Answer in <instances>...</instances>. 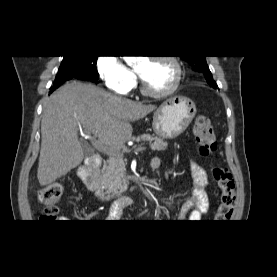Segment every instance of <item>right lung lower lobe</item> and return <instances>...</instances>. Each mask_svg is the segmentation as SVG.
Masks as SVG:
<instances>
[{
  "label": "right lung lower lobe",
  "mask_w": 277,
  "mask_h": 277,
  "mask_svg": "<svg viewBox=\"0 0 277 277\" xmlns=\"http://www.w3.org/2000/svg\"><path fill=\"white\" fill-rule=\"evenodd\" d=\"M84 79V80H90L92 82H96L94 80H91L90 78L80 75V74H74L73 72L64 73V74H58L55 78L53 87L50 89V93L54 91L55 88H58L60 84H62L65 81H68L70 79Z\"/></svg>",
  "instance_id": "right-lung-lower-lobe-1"
}]
</instances>
